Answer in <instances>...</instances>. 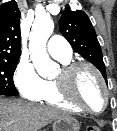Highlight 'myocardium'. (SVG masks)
Here are the masks:
<instances>
[{
    "mask_svg": "<svg viewBox=\"0 0 117 131\" xmlns=\"http://www.w3.org/2000/svg\"><path fill=\"white\" fill-rule=\"evenodd\" d=\"M81 69L90 70L97 78L104 96L103 107L99 111H94L87 107L83 102H81L75 95L73 90V81L77 72ZM56 85L58 87L60 95L70 104L77 107L83 112L97 115L105 111L109 103V92L104 81L103 76L99 70L92 64L87 62H72L64 65L61 69L59 76L55 79Z\"/></svg>",
    "mask_w": 117,
    "mask_h": 131,
    "instance_id": "obj_1",
    "label": "myocardium"
}]
</instances>
